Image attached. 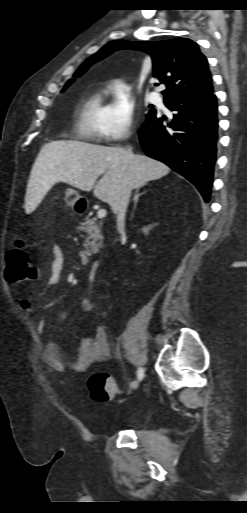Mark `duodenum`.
Instances as JSON below:
<instances>
[{
    "label": "duodenum",
    "instance_id": "obj_1",
    "mask_svg": "<svg viewBox=\"0 0 247 513\" xmlns=\"http://www.w3.org/2000/svg\"><path fill=\"white\" fill-rule=\"evenodd\" d=\"M83 210H85V206L83 207ZM99 265H100L99 261H94L91 265V272L95 273L97 271V269L99 268Z\"/></svg>",
    "mask_w": 247,
    "mask_h": 513
}]
</instances>
